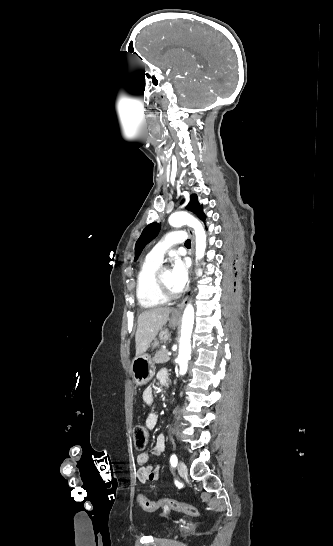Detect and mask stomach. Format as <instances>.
Instances as JSON below:
<instances>
[{
	"mask_svg": "<svg viewBox=\"0 0 333 546\" xmlns=\"http://www.w3.org/2000/svg\"><path fill=\"white\" fill-rule=\"evenodd\" d=\"M178 324L176 319L170 320V326L175 327ZM170 338L168 329H161L158 338L152 343L153 347H157L160 342H166ZM131 372L133 379L137 385L147 384L155 374V364L148 354L135 356L131 364Z\"/></svg>",
	"mask_w": 333,
	"mask_h": 546,
	"instance_id": "obj_1",
	"label": "stomach"
}]
</instances>
